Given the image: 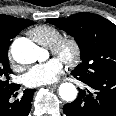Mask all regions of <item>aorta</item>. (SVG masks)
Masks as SVG:
<instances>
[{"instance_id": "obj_1", "label": "aorta", "mask_w": 116, "mask_h": 116, "mask_svg": "<svg viewBox=\"0 0 116 116\" xmlns=\"http://www.w3.org/2000/svg\"><path fill=\"white\" fill-rule=\"evenodd\" d=\"M11 53L14 60L21 64H31L46 58L44 49L27 38L16 39L12 43ZM59 95L64 101L72 102L77 97V89L72 83L65 82L59 87Z\"/></svg>"}]
</instances>
